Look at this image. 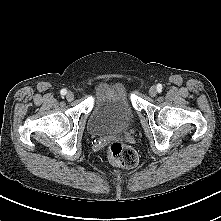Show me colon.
Returning <instances> with one entry per match:
<instances>
[{"instance_id": "obj_1", "label": "colon", "mask_w": 221, "mask_h": 221, "mask_svg": "<svg viewBox=\"0 0 221 221\" xmlns=\"http://www.w3.org/2000/svg\"><path fill=\"white\" fill-rule=\"evenodd\" d=\"M107 154L111 163L125 169L134 168L138 163V155L134 149L119 141L109 145Z\"/></svg>"}]
</instances>
